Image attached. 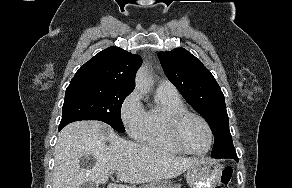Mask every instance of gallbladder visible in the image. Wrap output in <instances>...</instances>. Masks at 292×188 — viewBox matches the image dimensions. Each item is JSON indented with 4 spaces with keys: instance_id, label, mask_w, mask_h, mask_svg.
<instances>
[{
    "instance_id": "1",
    "label": "gallbladder",
    "mask_w": 292,
    "mask_h": 188,
    "mask_svg": "<svg viewBox=\"0 0 292 188\" xmlns=\"http://www.w3.org/2000/svg\"><path fill=\"white\" fill-rule=\"evenodd\" d=\"M96 182H84L82 185H80L79 188H98V184H95Z\"/></svg>"
}]
</instances>
